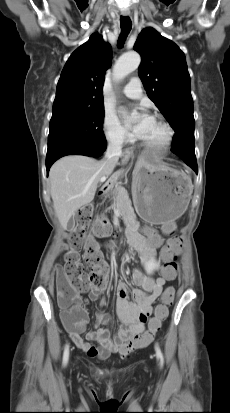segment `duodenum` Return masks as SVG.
I'll return each mask as SVG.
<instances>
[{"label":"duodenum","instance_id":"obj_1","mask_svg":"<svg viewBox=\"0 0 230 413\" xmlns=\"http://www.w3.org/2000/svg\"><path fill=\"white\" fill-rule=\"evenodd\" d=\"M106 189L107 188H103L101 191H100V193L102 194V193H105L106 192Z\"/></svg>","mask_w":230,"mask_h":413}]
</instances>
